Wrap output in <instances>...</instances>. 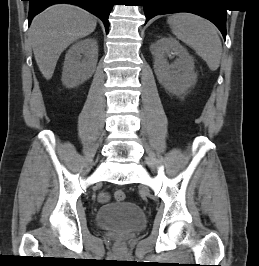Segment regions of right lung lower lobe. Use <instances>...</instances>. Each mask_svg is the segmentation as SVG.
Returning a JSON list of instances; mask_svg holds the SVG:
<instances>
[{
    "mask_svg": "<svg viewBox=\"0 0 259 266\" xmlns=\"http://www.w3.org/2000/svg\"><path fill=\"white\" fill-rule=\"evenodd\" d=\"M29 6V23L35 15L43 11L46 7L55 3H70L78 5L99 17L105 25L106 32L109 31L108 16L112 10L114 0H27Z\"/></svg>",
    "mask_w": 259,
    "mask_h": 266,
    "instance_id": "right-lung-lower-lobe-1",
    "label": "right lung lower lobe"
}]
</instances>
